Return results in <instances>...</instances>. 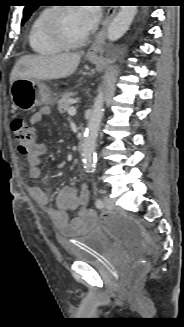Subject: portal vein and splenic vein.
Listing matches in <instances>:
<instances>
[{"mask_svg":"<svg viewBox=\"0 0 184 327\" xmlns=\"http://www.w3.org/2000/svg\"><path fill=\"white\" fill-rule=\"evenodd\" d=\"M68 114H69V115H75V114H76V109H75L74 107H70V108L68 109Z\"/></svg>","mask_w":184,"mask_h":327,"instance_id":"18ae733b","label":"portal vein and splenic vein"}]
</instances>
